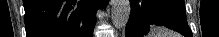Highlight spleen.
<instances>
[{
    "instance_id": "1",
    "label": "spleen",
    "mask_w": 219,
    "mask_h": 37,
    "mask_svg": "<svg viewBox=\"0 0 219 37\" xmlns=\"http://www.w3.org/2000/svg\"><path fill=\"white\" fill-rule=\"evenodd\" d=\"M150 37H180V36L166 29L154 27L150 33Z\"/></svg>"
}]
</instances>
